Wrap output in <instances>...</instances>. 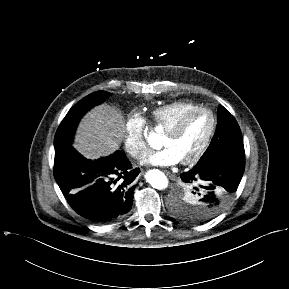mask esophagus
I'll use <instances>...</instances> for the list:
<instances>
[{
  "label": "esophagus",
  "instance_id": "obj_1",
  "mask_svg": "<svg viewBox=\"0 0 289 289\" xmlns=\"http://www.w3.org/2000/svg\"><path fill=\"white\" fill-rule=\"evenodd\" d=\"M167 176H169V178L173 179L174 176L170 173V172H166Z\"/></svg>",
  "mask_w": 289,
  "mask_h": 289
}]
</instances>
